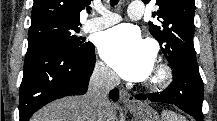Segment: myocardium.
I'll use <instances>...</instances> for the list:
<instances>
[{"mask_svg":"<svg viewBox=\"0 0 217 121\" xmlns=\"http://www.w3.org/2000/svg\"><path fill=\"white\" fill-rule=\"evenodd\" d=\"M172 79V70L166 63L156 64L153 73L146 80L145 86L149 90H157L165 88Z\"/></svg>","mask_w":217,"mask_h":121,"instance_id":"obj_1","label":"myocardium"}]
</instances>
